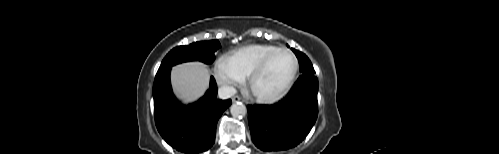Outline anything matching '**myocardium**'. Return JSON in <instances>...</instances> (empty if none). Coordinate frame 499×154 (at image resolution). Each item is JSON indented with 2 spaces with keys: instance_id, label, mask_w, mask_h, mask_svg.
<instances>
[{
  "instance_id": "obj_1",
  "label": "myocardium",
  "mask_w": 499,
  "mask_h": 154,
  "mask_svg": "<svg viewBox=\"0 0 499 154\" xmlns=\"http://www.w3.org/2000/svg\"><path fill=\"white\" fill-rule=\"evenodd\" d=\"M280 52H285V53L289 54L293 60V70H292L286 84L277 93H275L273 95L266 96V95L258 94L254 90V84H255L256 80L264 73V71L266 70V68H267L268 64L270 63V61L272 60V58ZM298 70H299V62H298L296 55L291 50H289L287 48H277L274 51H272L271 53H269L266 57H264V59L259 63V65L249 75V77H248L249 90L251 91L252 95L257 100H259L261 102H264V103L276 102V101L280 100L284 95H286L287 92L290 90V88L292 87V85L295 81Z\"/></svg>"
}]
</instances>
